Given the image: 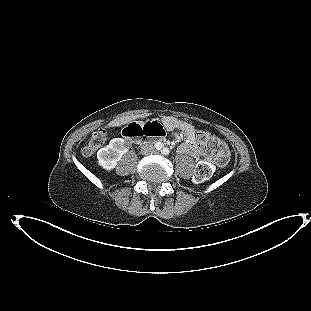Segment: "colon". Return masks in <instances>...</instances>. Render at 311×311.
Masks as SVG:
<instances>
[{
  "mask_svg": "<svg viewBox=\"0 0 311 311\" xmlns=\"http://www.w3.org/2000/svg\"><path fill=\"white\" fill-rule=\"evenodd\" d=\"M143 129L146 132V128L140 126H134L127 129L126 134L133 129ZM152 132L158 137L164 136V129L156 125L154 128H150ZM198 140L200 146L206 155L207 159L200 161L195 168L194 181L202 183L209 179L213 173V164L218 167H225L230 160V151L226 144L219 138L210 135L206 132L198 133ZM106 141V134L103 130L97 131L92 134L87 145L82 149V154L86 157L92 156Z\"/></svg>",
  "mask_w": 311,
  "mask_h": 311,
  "instance_id": "1",
  "label": "colon"
}]
</instances>
